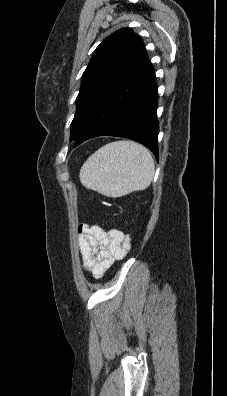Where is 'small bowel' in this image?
<instances>
[{
	"label": "small bowel",
	"mask_w": 227,
	"mask_h": 396,
	"mask_svg": "<svg viewBox=\"0 0 227 396\" xmlns=\"http://www.w3.org/2000/svg\"><path fill=\"white\" fill-rule=\"evenodd\" d=\"M78 245L84 269L96 279L101 278L115 261L130 250V238L117 229L104 230L98 225L78 227Z\"/></svg>",
	"instance_id": "1"
}]
</instances>
